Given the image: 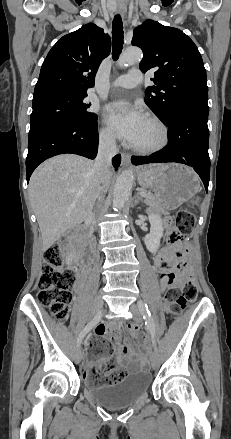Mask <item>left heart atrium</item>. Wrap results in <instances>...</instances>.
<instances>
[{"label": "left heart atrium", "instance_id": "39dd6f15", "mask_svg": "<svg viewBox=\"0 0 231 439\" xmlns=\"http://www.w3.org/2000/svg\"><path fill=\"white\" fill-rule=\"evenodd\" d=\"M105 119L116 134L130 145H135L146 122L143 112L126 101L107 105Z\"/></svg>", "mask_w": 231, "mask_h": 439}]
</instances>
